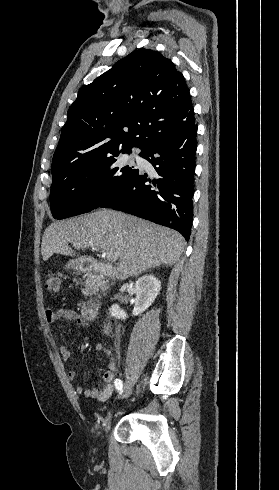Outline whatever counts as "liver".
Wrapping results in <instances>:
<instances>
[{"instance_id": "6515ba94", "label": "liver", "mask_w": 279, "mask_h": 490, "mask_svg": "<svg viewBox=\"0 0 279 490\" xmlns=\"http://www.w3.org/2000/svg\"><path fill=\"white\" fill-rule=\"evenodd\" d=\"M69 244L76 250L96 248L117 256V280L139 276L161 264L174 266L186 246L183 236L175 230L113 210H98L50 224L41 242L44 262L53 254L77 256V270H83L87 256L74 254Z\"/></svg>"}]
</instances>
